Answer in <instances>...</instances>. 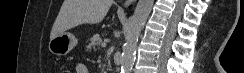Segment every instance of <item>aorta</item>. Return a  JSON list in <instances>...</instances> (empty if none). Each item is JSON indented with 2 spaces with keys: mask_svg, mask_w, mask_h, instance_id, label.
Returning <instances> with one entry per match:
<instances>
[{
  "mask_svg": "<svg viewBox=\"0 0 244 73\" xmlns=\"http://www.w3.org/2000/svg\"><path fill=\"white\" fill-rule=\"evenodd\" d=\"M153 4L154 0H139L136 5L132 17L131 31L123 47L121 73L131 72L135 59L138 37L151 13Z\"/></svg>",
  "mask_w": 244,
  "mask_h": 73,
  "instance_id": "762f6f07",
  "label": "aorta"
}]
</instances>
